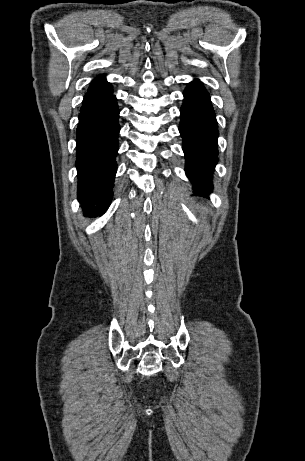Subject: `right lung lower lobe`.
I'll use <instances>...</instances> for the list:
<instances>
[{
	"label": "right lung lower lobe",
	"instance_id": "obj_1",
	"mask_svg": "<svg viewBox=\"0 0 305 461\" xmlns=\"http://www.w3.org/2000/svg\"><path fill=\"white\" fill-rule=\"evenodd\" d=\"M119 112L111 84L97 77L83 99L76 131L78 199L86 216L104 214L112 199Z\"/></svg>",
	"mask_w": 305,
	"mask_h": 461
}]
</instances>
